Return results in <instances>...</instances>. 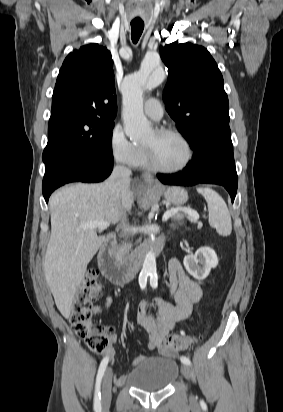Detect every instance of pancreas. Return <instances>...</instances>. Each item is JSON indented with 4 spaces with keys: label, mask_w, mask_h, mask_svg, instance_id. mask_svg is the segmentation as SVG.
Listing matches in <instances>:
<instances>
[{
    "label": "pancreas",
    "mask_w": 283,
    "mask_h": 412,
    "mask_svg": "<svg viewBox=\"0 0 283 412\" xmlns=\"http://www.w3.org/2000/svg\"><path fill=\"white\" fill-rule=\"evenodd\" d=\"M184 217H185L184 214L177 213L174 215L173 218L178 224H181ZM187 219L194 223L197 222V220L192 218L191 216H187ZM130 248H131V244H122V246L118 250L119 256L124 257L125 255H127L129 253Z\"/></svg>",
    "instance_id": "obj_1"
}]
</instances>
